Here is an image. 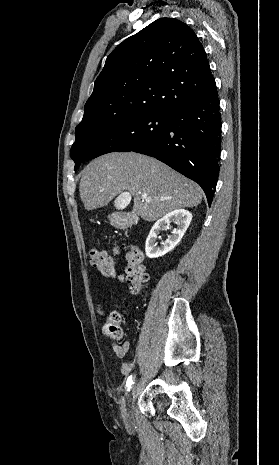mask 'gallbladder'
<instances>
[{"instance_id": "obj_1", "label": "gallbladder", "mask_w": 279, "mask_h": 465, "mask_svg": "<svg viewBox=\"0 0 279 465\" xmlns=\"http://www.w3.org/2000/svg\"><path fill=\"white\" fill-rule=\"evenodd\" d=\"M120 203L122 204V207H124V203H123V201H122V200H120Z\"/></svg>"}]
</instances>
